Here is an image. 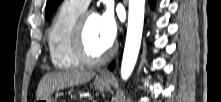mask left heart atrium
I'll use <instances>...</instances> for the list:
<instances>
[{
    "instance_id": "1",
    "label": "left heart atrium",
    "mask_w": 221,
    "mask_h": 102,
    "mask_svg": "<svg viewBox=\"0 0 221 102\" xmlns=\"http://www.w3.org/2000/svg\"><path fill=\"white\" fill-rule=\"evenodd\" d=\"M98 23L102 39L111 45L117 34V21L112 9H107L98 16Z\"/></svg>"
}]
</instances>
